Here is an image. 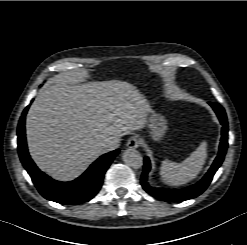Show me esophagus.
<instances>
[{"label":"esophagus","instance_id":"1","mask_svg":"<svg viewBox=\"0 0 247 245\" xmlns=\"http://www.w3.org/2000/svg\"><path fill=\"white\" fill-rule=\"evenodd\" d=\"M138 145H139V137H138V136H133V137H131V138L128 140V142H127V146H128V147H133V148H135V147H138Z\"/></svg>","mask_w":247,"mask_h":245}]
</instances>
